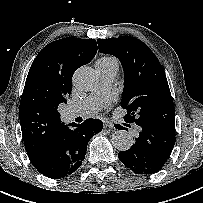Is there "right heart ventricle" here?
<instances>
[{
  "label": "right heart ventricle",
  "mask_w": 203,
  "mask_h": 203,
  "mask_svg": "<svg viewBox=\"0 0 203 203\" xmlns=\"http://www.w3.org/2000/svg\"><path fill=\"white\" fill-rule=\"evenodd\" d=\"M96 65L103 68V69L113 70L116 73L119 69L118 61L112 56L101 57L97 61Z\"/></svg>",
  "instance_id": "right-heart-ventricle-1"
}]
</instances>
